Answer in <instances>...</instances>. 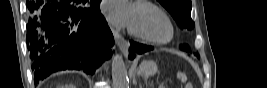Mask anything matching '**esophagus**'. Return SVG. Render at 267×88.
<instances>
[{
	"instance_id": "esophagus-1",
	"label": "esophagus",
	"mask_w": 267,
	"mask_h": 88,
	"mask_svg": "<svg viewBox=\"0 0 267 88\" xmlns=\"http://www.w3.org/2000/svg\"><path fill=\"white\" fill-rule=\"evenodd\" d=\"M112 34L114 36L115 42L119 49L121 50L122 54L127 57L128 56V43L127 41L119 34L117 30H115L112 26H110Z\"/></svg>"
}]
</instances>
